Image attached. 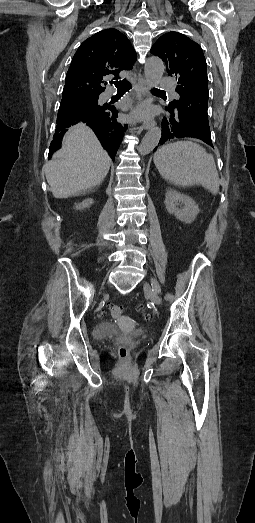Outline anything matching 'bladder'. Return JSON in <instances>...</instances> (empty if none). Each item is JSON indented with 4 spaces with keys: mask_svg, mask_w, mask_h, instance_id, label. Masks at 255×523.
<instances>
[{
    "mask_svg": "<svg viewBox=\"0 0 255 523\" xmlns=\"http://www.w3.org/2000/svg\"><path fill=\"white\" fill-rule=\"evenodd\" d=\"M116 331V327L115 325L113 324H108V323H102L100 325V330L96 333H94V337L95 338H103L105 337L107 334H110L112 332H115ZM128 335H136V336H144L146 334V328L145 327H142L140 329H137L136 331L132 332V331H128L127 332Z\"/></svg>",
    "mask_w": 255,
    "mask_h": 523,
    "instance_id": "bladder-1",
    "label": "bladder"
}]
</instances>
